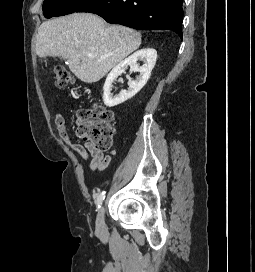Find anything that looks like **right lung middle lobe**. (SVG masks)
Segmentation results:
<instances>
[{
    "instance_id": "obj_1",
    "label": "right lung middle lobe",
    "mask_w": 255,
    "mask_h": 272,
    "mask_svg": "<svg viewBox=\"0 0 255 272\" xmlns=\"http://www.w3.org/2000/svg\"><path fill=\"white\" fill-rule=\"evenodd\" d=\"M90 0H44L43 14L46 18L74 13Z\"/></svg>"
}]
</instances>
